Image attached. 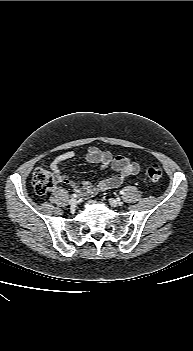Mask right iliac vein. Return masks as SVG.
Returning <instances> with one entry per match:
<instances>
[{
	"label": "right iliac vein",
	"instance_id": "obj_1",
	"mask_svg": "<svg viewBox=\"0 0 193 351\" xmlns=\"http://www.w3.org/2000/svg\"><path fill=\"white\" fill-rule=\"evenodd\" d=\"M78 204V201L74 198H72L70 201H69V205L71 206V208H75Z\"/></svg>",
	"mask_w": 193,
	"mask_h": 351
}]
</instances>
